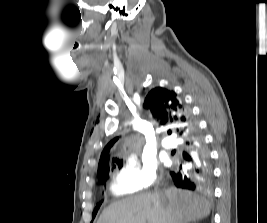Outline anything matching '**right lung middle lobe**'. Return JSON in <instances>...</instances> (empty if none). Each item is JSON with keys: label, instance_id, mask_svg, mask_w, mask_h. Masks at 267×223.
Listing matches in <instances>:
<instances>
[{"label": "right lung middle lobe", "instance_id": "obj_1", "mask_svg": "<svg viewBox=\"0 0 267 223\" xmlns=\"http://www.w3.org/2000/svg\"><path fill=\"white\" fill-rule=\"evenodd\" d=\"M108 173H109V169L106 170V172H105V173L103 174V176L100 178V180H101L102 182H104V181L107 179V177H108ZM100 205H101V203H99V204L97 205V207L95 208L94 213L92 214L93 217H95V215H96V213H97V211H98Z\"/></svg>", "mask_w": 267, "mask_h": 223}]
</instances>
